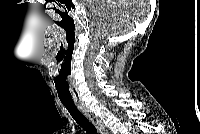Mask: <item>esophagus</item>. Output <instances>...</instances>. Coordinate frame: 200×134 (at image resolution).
Wrapping results in <instances>:
<instances>
[{"instance_id":"esophagus-1","label":"esophagus","mask_w":200,"mask_h":134,"mask_svg":"<svg viewBox=\"0 0 200 134\" xmlns=\"http://www.w3.org/2000/svg\"><path fill=\"white\" fill-rule=\"evenodd\" d=\"M76 105L83 115L96 127L100 134H109L104 123L88 107L80 102H77Z\"/></svg>"}]
</instances>
